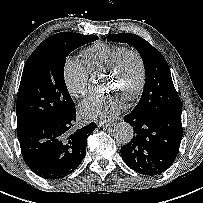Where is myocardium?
<instances>
[{
  "mask_svg": "<svg viewBox=\"0 0 203 203\" xmlns=\"http://www.w3.org/2000/svg\"><path fill=\"white\" fill-rule=\"evenodd\" d=\"M129 57L135 58L139 66V77L137 84L133 91L125 97L126 100L132 101L141 94L146 81V65L142 55L135 49H125L117 56V58L107 70V73L109 76L114 75L123 65L125 60Z\"/></svg>",
  "mask_w": 203,
  "mask_h": 203,
  "instance_id": "f54148a6",
  "label": "myocardium"
}]
</instances>
